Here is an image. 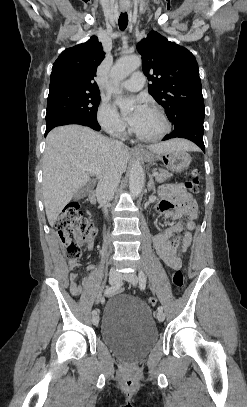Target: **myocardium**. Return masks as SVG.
<instances>
[{
    "instance_id": "obj_1",
    "label": "myocardium",
    "mask_w": 247,
    "mask_h": 407,
    "mask_svg": "<svg viewBox=\"0 0 247 407\" xmlns=\"http://www.w3.org/2000/svg\"><path fill=\"white\" fill-rule=\"evenodd\" d=\"M147 109L155 112L161 118V120L164 124V128H163L162 132L153 137H144V136L139 135L134 130V128L131 127V133L138 141H141L144 143L158 142V141L162 140L163 138H165L171 131V122H170L168 116L166 115L165 111L162 108L152 105V106H149Z\"/></svg>"
}]
</instances>
